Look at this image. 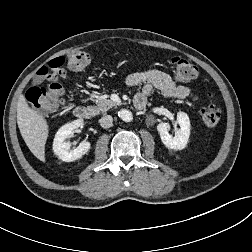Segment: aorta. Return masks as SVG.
Segmentation results:
<instances>
[{
    "mask_svg": "<svg viewBox=\"0 0 252 252\" xmlns=\"http://www.w3.org/2000/svg\"><path fill=\"white\" fill-rule=\"evenodd\" d=\"M118 116L125 122H130L133 119L132 113L126 109L119 111Z\"/></svg>",
    "mask_w": 252,
    "mask_h": 252,
    "instance_id": "aorta-1",
    "label": "aorta"
}]
</instances>
